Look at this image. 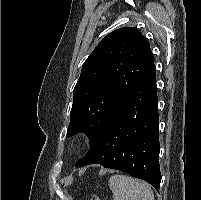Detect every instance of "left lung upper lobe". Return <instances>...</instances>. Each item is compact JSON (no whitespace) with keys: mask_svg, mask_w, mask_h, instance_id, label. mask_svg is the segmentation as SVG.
Masks as SVG:
<instances>
[{"mask_svg":"<svg viewBox=\"0 0 201 200\" xmlns=\"http://www.w3.org/2000/svg\"><path fill=\"white\" fill-rule=\"evenodd\" d=\"M154 67L138 29L123 27L105 36L82 66L66 137L85 133L92 145L112 110Z\"/></svg>","mask_w":201,"mask_h":200,"instance_id":"1","label":"left lung upper lobe"}]
</instances>
